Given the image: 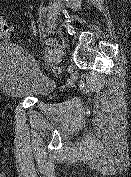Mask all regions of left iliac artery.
I'll list each match as a JSON object with an SVG mask.
<instances>
[{
  "label": "left iliac artery",
  "instance_id": "obj_1",
  "mask_svg": "<svg viewBox=\"0 0 131 177\" xmlns=\"http://www.w3.org/2000/svg\"><path fill=\"white\" fill-rule=\"evenodd\" d=\"M44 43H45L46 46H51V45L54 44V41L50 40V39H47V40H45ZM45 59H46L47 63H52L53 62L52 53L50 52L48 47L46 48V51H45Z\"/></svg>",
  "mask_w": 131,
  "mask_h": 177
}]
</instances>
